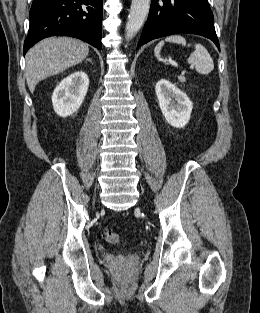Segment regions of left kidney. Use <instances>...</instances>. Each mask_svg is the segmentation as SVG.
Listing matches in <instances>:
<instances>
[{"mask_svg": "<svg viewBox=\"0 0 260 313\" xmlns=\"http://www.w3.org/2000/svg\"><path fill=\"white\" fill-rule=\"evenodd\" d=\"M155 92L166 121L175 128H183L189 122L193 109L187 95L166 79L156 83Z\"/></svg>", "mask_w": 260, "mask_h": 313, "instance_id": "5707ae66", "label": "left kidney"}]
</instances>
